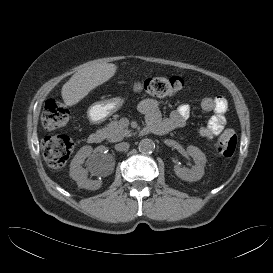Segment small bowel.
Instances as JSON below:
<instances>
[{
  "label": "small bowel",
  "instance_id": "c3829d8e",
  "mask_svg": "<svg viewBox=\"0 0 273 273\" xmlns=\"http://www.w3.org/2000/svg\"><path fill=\"white\" fill-rule=\"evenodd\" d=\"M204 111L214 112L207 123L198 128L197 133L200 137L212 140L219 136L225 129V112L227 109V100L223 96L206 97L201 102ZM140 112L145 116L147 122L161 119V112L158 102L151 98L142 100L139 104ZM190 107L187 104H181L171 112L164 120L170 126V130L179 129L185 126Z\"/></svg>",
  "mask_w": 273,
  "mask_h": 273
}]
</instances>
